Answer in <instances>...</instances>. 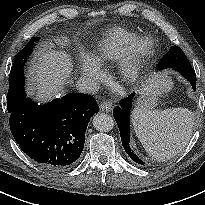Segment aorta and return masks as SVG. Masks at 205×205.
I'll return each instance as SVG.
<instances>
[{
	"mask_svg": "<svg viewBox=\"0 0 205 205\" xmlns=\"http://www.w3.org/2000/svg\"><path fill=\"white\" fill-rule=\"evenodd\" d=\"M93 126L100 132H108L113 128L114 120L105 113L96 114L93 118Z\"/></svg>",
	"mask_w": 205,
	"mask_h": 205,
	"instance_id": "1",
	"label": "aorta"
}]
</instances>
